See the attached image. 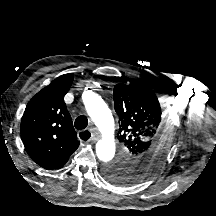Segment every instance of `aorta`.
Listing matches in <instances>:
<instances>
[{
  "label": "aorta",
  "mask_w": 216,
  "mask_h": 216,
  "mask_svg": "<svg viewBox=\"0 0 216 216\" xmlns=\"http://www.w3.org/2000/svg\"><path fill=\"white\" fill-rule=\"evenodd\" d=\"M88 115L95 122L102 138L96 144V154L99 160L107 163L115 155L114 120L111 111L100 96L92 94L84 100Z\"/></svg>",
  "instance_id": "1"
}]
</instances>
